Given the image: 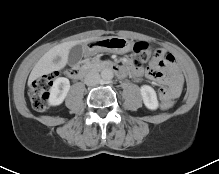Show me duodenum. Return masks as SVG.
<instances>
[{
    "mask_svg": "<svg viewBox=\"0 0 219 174\" xmlns=\"http://www.w3.org/2000/svg\"><path fill=\"white\" fill-rule=\"evenodd\" d=\"M92 69L112 70L113 72H115L116 75L120 77L124 75L123 69L119 65L111 61L97 63L93 65L91 68L84 66L73 68L69 71V75L73 79H80L86 76Z\"/></svg>",
    "mask_w": 219,
    "mask_h": 174,
    "instance_id": "duodenum-1",
    "label": "duodenum"
}]
</instances>
